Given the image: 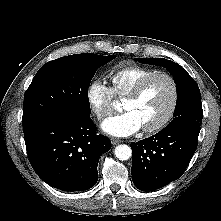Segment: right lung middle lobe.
<instances>
[{
  "mask_svg": "<svg viewBox=\"0 0 221 221\" xmlns=\"http://www.w3.org/2000/svg\"><path fill=\"white\" fill-rule=\"evenodd\" d=\"M114 58L115 55L74 54L42 66L24 96L23 129L58 114L89 119L90 81L101 65Z\"/></svg>",
  "mask_w": 221,
  "mask_h": 221,
  "instance_id": "1",
  "label": "right lung middle lobe"
}]
</instances>
